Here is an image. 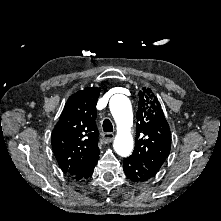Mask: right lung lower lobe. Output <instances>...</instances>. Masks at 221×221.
<instances>
[{
    "label": "right lung lower lobe",
    "mask_w": 221,
    "mask_h": 221,
    "mask_svg": "<svg viewBox=\"0 0 221 221\" xmlns=\"http://www.w3.org/2000/svg\"><path fill=\"white\" fill-rule=\"evenodd\" d=\"M98 159H99V156L81 174H78V175L72 177V179H74L76 181H84V180L88 179L92 175L94 167H95Z\"/></svg>",
    "instance_id": "obj_1"
}]
</instances>
